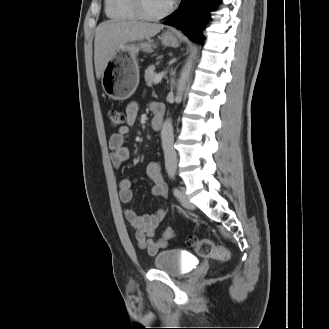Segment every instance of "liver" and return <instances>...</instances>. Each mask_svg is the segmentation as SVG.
Masks as SVG:
<instances>
[{"mask_svg":"<svg viewBox=\"0 0 329 329\" xmlns=\"http://www.w3.org/2000/svg\"><path fill=\"white\" fill-rule=\"evenodd\" d=\"M162 29L161 24L138 21L102 22L96 29L94 41L96 77H102L106 64L122 44L149 39Z\"/></svg>","mask_w":329,"mask_h":329,"instance_id":"6515ba94","label":"liver"}]
</instances>
